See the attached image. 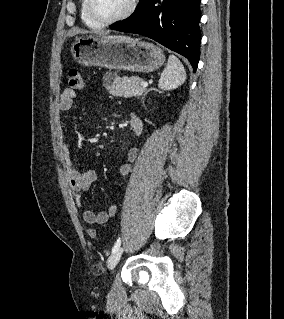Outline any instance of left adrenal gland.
<instances>
[{
  "mask_svg": "<svg viewBox=\"0 0 284 319\" xmlns=\"http://www.w3.org/2000/svg\"><path fill=\"white\" fill-rule=\"evenodd\" d=\"M152 90H154L153 88H150V89H148V90H146L145 92H144V94H143V96H142V101H143V103H144V100H145V96L150 92V91H152Z\"/></svg>",
  "mask_w": 284,
  "mask_h": 319,
  "instance_id": "1",
  "label": "left adrenal gland"
}]
</instances>
